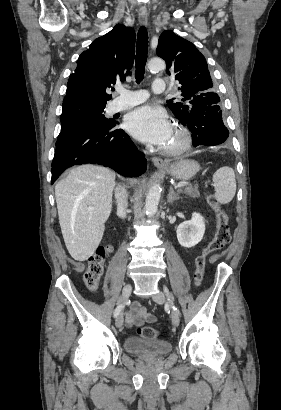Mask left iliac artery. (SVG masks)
Returning a JSON list of instances; mask_svg holds the SVG:
<instances>
[{
    "instance_id": "left-iliac-artery-1",
    "label": "left iliac artery",
    "mask_w": 281,
    "mask_h": 410,
    "mask_svg": "<svg viewBox=\"0 0 281 410\" xmlns=\"http://www.w3.org/2000/svg\"><path fill=\"white\" fill-rule=\"evenodd\" d=\"M172 298H173L172 295L168 294V300H171ZM173 309L175 311L179 312L178 309L175 306H173Z\"/></svg>"
}]
</instances>
